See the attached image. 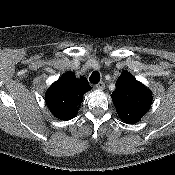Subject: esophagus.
Instances as JSON below:
<instances>
[{"label":"esophagus","mask_w":175,"mask_h":175,"mask_svg":"<svg viewBox=\"0 0 175 175\" xmlns=\"http://www.w3.org/2000/svg\"><path fill=\"white\" fill-rule=\"evenodd\" d=\"M96 89L98 90H103L105 88V83L103 81L99 82L98 84H96Z\"/></svg>","instance_id":"34e87169"}]
</instances>
